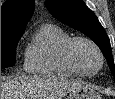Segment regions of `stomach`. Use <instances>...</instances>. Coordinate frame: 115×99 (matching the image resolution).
Wrapping results in <instances>:
<instances>
[{
  "label": "stomach",
  "instance_id": "0dacf381",
  "mask_svg": "<svg viewBox=\"0 0 115 99\" xmlns=\"http://www.w3.org/2000/svg\"><path fill=\"white\" fill-rule=\"evenodd\" d=\"M67 99H101L100 95L88 86L72 91Z\"/></svg>",
  "mask_w": 115,
  "mask_h": 99
}]
</instances>
